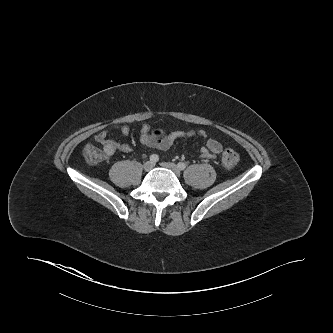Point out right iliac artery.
<instances>
[{"label":"right iliac artery","mask_w":333,"mask_h":333,"mask_svg":"<svg viewBox=\"0 0 333 333\" xmlns=\"http://www.w3.org/2000/svg\"><path fill=\"white\" fill-rule=\"evenodd\" d=\"M149 159L152 163H156L159 160V156L156 154H152Z\"/></svg>","instance_id":"82829eb1"}]
</instances>
